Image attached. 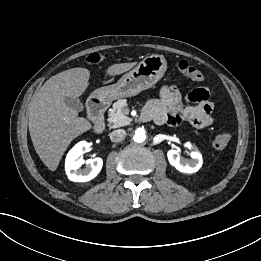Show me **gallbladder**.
I'll use <instances>...</instances> for the list:
<instances>
[{"label":"gallbladder","instance_id":"gallbladder-1","mask_svg":"<svg viewBox=\"0 0 261 261\" xmlns=\"http://www.w3.org/2000/svg\"><path fill=\"white\" fill-rule=\"evenodd\" d=\"M64 102L68 107L76 110L77 112L83 111L84 109V105L78 98L65 97Z\"/></svg>","mask_w":261,"mask_h":261}]
</instances>
